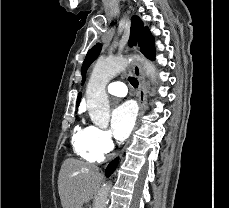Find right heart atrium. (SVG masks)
Returning <instances> with one entry per match:
<instances>
[{"instance_id":"right-heart-atrium-1","label":"right heart atrium","mask_w":229,"mask_h":208,"mask_svg":"<svg viewBox=\"0 0 229 208\" xmlns=\"http://www.w3.org/2000/svg\"><path fill=\"white\" fill-rule=\"evenodd\" d=\"M91 144L102 155L114 148V142L109 131L92 126Z\"/></svg>"}]
</instances>
